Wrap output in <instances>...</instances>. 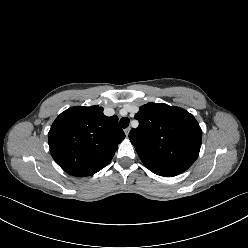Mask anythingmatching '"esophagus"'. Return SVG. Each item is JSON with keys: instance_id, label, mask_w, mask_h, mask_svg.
<instances>
[{"instance_id": "1", "label": "esophagus", "mask_w": 248, "mask_h": 248, "mask_svg": "<svg viewBox=\"0 0 248 248\" xmlns=\"http://www.w3.org/2000/svg\"><path fill=\"white\" fill-rule=\"evenodd\" d=\"M124 132H125V135L128 136V135H129V132H130V128H129V127L126 128V129L124 130Z\"/></svg>"}]
</instances>
